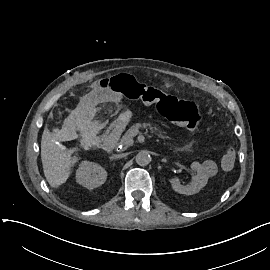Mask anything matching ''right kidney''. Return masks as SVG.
Returning a JSON list of instances; mask_svg holds the SVG:
<instances>
[{
  "label": "right kidney",
  "mask_w": 270,
  "mask_h": 270,
  "mask_svg": "<svg viewBox=\"0 0 270 270\" xmlns=\"http://www.w3.org/2000/svg\"><path fill=\"white\" fill-rule=\"evenodd\" d=\"M107 178V172L99 165L84 161L77 171L79 184L89 189L101 186Z\"/></svg>",
  "instance_id": "1"
}]
</instances>
